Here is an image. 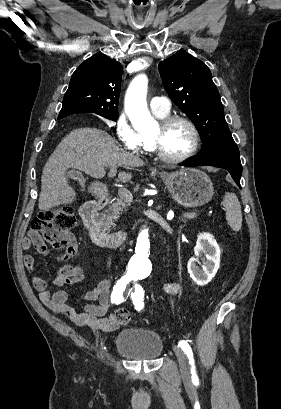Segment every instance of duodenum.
I'll return each mask as SVG.
<instances>
[{
    "label": "duodenum",
    "instance_id": "duodenum-1",
    "mask_svg": "<svg viewBox=\"0 0 281 409\" xmlns=\"http://www.w3.org/2000/svg\"><path fill=\"white\" fill-rule=\"evenodd\" d=\"M109 186H98L95 197L98 200L85 202L80 215L93 243L102 249H116L126 242L128 234L124 231L106 232L101 224V210L105 203L111 202Z\"/></svg>",
    "mask_w": 281,
    "mask_h": 409
}]
</instances>
